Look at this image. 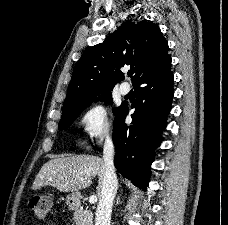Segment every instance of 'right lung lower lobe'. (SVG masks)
<instances>
[{
    "label": "right lung lower lobe",
    "instance_id": "obj_1",
    "mask_svg": "<svg viewBox=\"0 0 228 225\" xmlns=\"http://www.w3.org/2000/svg\"><path fill=\"white\" fill-rule=\"evenodd\" d=\"M170 67L168 54L139 77L134 85L137 99L131 106L135 108L131 125L125 123L127 105H121L114 120L115 167L141 189L148 185L154 150L160 145L171 109L174 90Z\"/></svg>",
    "mask_w": 228,
    "mask_h": 225
}]
</instances>
